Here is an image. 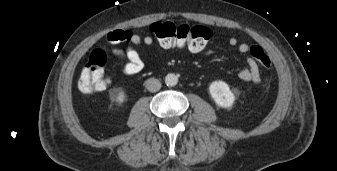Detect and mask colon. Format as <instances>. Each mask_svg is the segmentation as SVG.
Wrapping results in <instances>:
<instances>
[{
	"label": "colon",
	"instance_id": "obj_1",
	"mask_svg": "<svg viewBox=\"0 0 337 171\" xmlns=\"http://www.w3.org/2000/svg\"><path fill=\"white\" fill-rule=\"evenodd\" d=\"M164 53H171L179 47H187L194 52L201 51L211 37V31L204 25L176 24L169 21L155 22L150 27ZM250 55L265 69L271 66V60L259 45L249 48ZM107 55L102 49H95L82 68L78 87L84 94H93L104 90L109 82L105 71Z\"/></svg>",
	"mask_w": 337,
	"mask_h": 171
}]
</instances>
